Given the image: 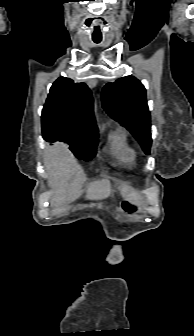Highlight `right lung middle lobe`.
<instances>
[{
	"label": "right lung middle lobe",
	"instance_id": "1",
	"mask_svg": "<svg viewBox=\"0 0 194 336\" xmlns=\"http://www.w3.org/2000/svg\"><path fill=\"white\" fill-rule=\"evenodd\" d=\"M58 141H63L69 145V149L79 159L90 160L95 156L97 138H83L79 136L63 137Z\"/></svg>",
	"mask_w": 194,
	"mask_h": 336
}]
</instances>
